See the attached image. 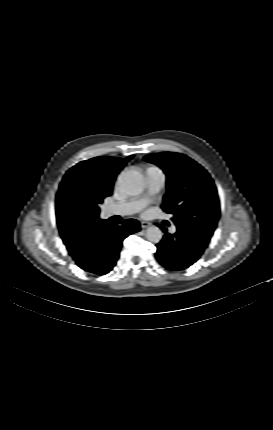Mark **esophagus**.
Returning <instances> with one entry per match:
<instances>
[{
  "label": "esophagus",
  "instance_id": "1",
  "mask_svg": "<svg viewBox=\"0 0 273 430\" xmlns=\"http://www.w3.org/2000/svg\"><path fill=\"white\" fill-rule=\"evenodd\" d=\"M151 225V223H149V222H145V221H142L141 222V228H147V227H149Z\"/></svg>",
  "mask_w": 273,
  "mask_h": 430
}]
</instances>
